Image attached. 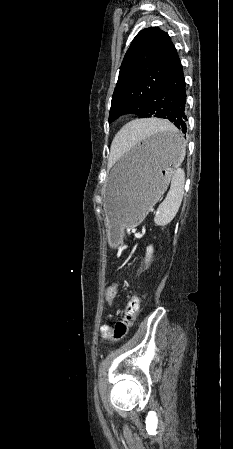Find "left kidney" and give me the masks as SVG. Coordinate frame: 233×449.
Listing matches in <instances>:
<instances>
[{
  "instance_id": "left-kidney-1",
  "label": "left kidney",
  "mask_w": 233,
  "mask_h": 449,
  "mask_svg": "<svg viewBox=\"0 0 233 449\" xmlns=\"http://www.w3.org/2000/svg\"><path fill=\"white\" fill-rule=\"evenodd\" d=\"M153 254V246H148L147 250H146V259H145V263L148 264L151 260Z\"/></svg>"
}]
</instances>
